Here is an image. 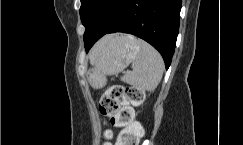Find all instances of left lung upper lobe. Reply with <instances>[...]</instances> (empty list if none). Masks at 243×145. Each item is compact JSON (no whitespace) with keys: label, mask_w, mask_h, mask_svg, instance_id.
Listing matches in <instances>:
<instances>
[{"label":"left lung upper lobe","mask_w":243,"mask_h":145,"mask_svg":"<svg viewBox=\"0 0 243 145\" xmlns=\"http://www.w3.org/2000/svg\"><path fill=\"white\" fill-rule=\"evenodd\" d=\"M125 0H81L80 16L84 26L96 20L108 24L118 15Z\"/></svg>","instance_id":"1"}]
</instances>
